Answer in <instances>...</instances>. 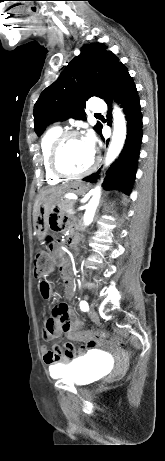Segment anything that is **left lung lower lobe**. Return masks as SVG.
I'll list each match as a JSON object with an SVG mask.
<instances>
[{
    "label": "left lung lower lobe",
    "mask_w": 165,
    "mask_h": 461,
    "mask_svg": "<svg viewBox=\"0 0 165 461\" xmlns=\"http://www.w3.org/2000/svg\"><path fill=\"white\" fill-rule=\"evenodd\" d=\"M113 98L121 105L126 115L127 136L123 150L107 170L102 186L106 190L117 189L129 195L136 175L137 160L143 134L138 92L127 70L122 72L111 94L104 100L108 104V115L111 112V100ZM101 130L98 132L100 135ZM99 172L100 169L96 173L83 178V180L95 183L99 178Z\"/></svg>",
    "instance_id": "1"
}]
</instances>
